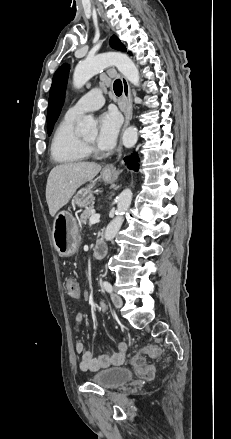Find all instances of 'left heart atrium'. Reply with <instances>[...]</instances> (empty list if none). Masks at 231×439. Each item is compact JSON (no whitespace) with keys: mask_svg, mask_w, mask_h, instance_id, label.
Here are the masks:
<instances>
[{"mask_svg":"<svg viewBox=\"0 0 231 439\" xmlns=\"http://www.w3.org/2000/svg\"><path fill=\"white\" fill-rule=\"evenodd\" d=\"M121 120L119 115L114 111H108L98 118V134L96 137V146L99 150H111L116 142Z\"/></svg>","mask_w":231,"mask_h":439,"instance_id":"39dd6f15","label":"left heart atrium"}]
</instances>
